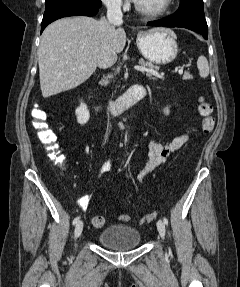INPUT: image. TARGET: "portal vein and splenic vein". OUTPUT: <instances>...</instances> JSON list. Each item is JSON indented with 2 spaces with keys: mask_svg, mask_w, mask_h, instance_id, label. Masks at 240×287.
Listing matches in <instances>:
<instances>
[{
  "mask_svg": "<svg viewBox=\"0 0 240 287\" xmlns=\"http://www.w3.org/2000/svg\"><path fill=\"white\" fill-rule=\"evenodd\" d=\"M134 69L137 70V71H140V72H147V73H152L153 75L155 76H158V77H163V74L162 75H159L158 72L154 71V70H151V69H148V68H145L144 66H139V65H136L134 66ZM178 73L179 74H182L183 73V68H180L178 70Z\"/></svg>",
  "mask_w": 240,
  "mask_h": 287,
  "instance_id": "portal-vein-and-splenic-vein-1",
  "label": "portal vein and splenic vein"
}]
</instances>
